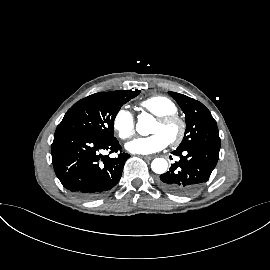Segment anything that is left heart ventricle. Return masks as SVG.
Segmentation results:
<instances>
[{
	"mask_svg": "<svg viewBox=\"0 0 270 270\" xmlns=\"http://www.w3.org/2000/svg\"><path fill=\"white\" fill-rule=\"evenodd\" d=\"M179 131V126L176 123L163 125L159 122H155L152 126L151 133L152 134H161L163 135L168 142L176 137Z\"/></svg>",
	"mask_w": 270,
	"mask_h": 270,
	"instance_id": "1",
	"label": "left heart ventricle"
}]
</instances>
